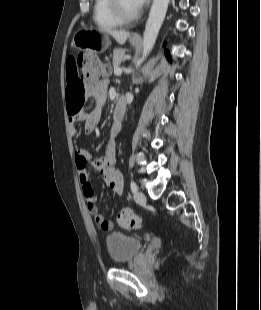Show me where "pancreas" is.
I'll use <instances>...</instances> for the list:
<instances>
[{
  "instance_id": "cf45deb5",
  "label": "pancreas",
  "mask_w": 261,
  "mask_h": 310,
  "mask_svg": "<svg viewBox=\"0 0 261 310\" xmlns=\"http://www.w3.org/2000/svg\"><path fill=\"white\" fill-rule=\"evenodd\" d=\"M125 59V52L120 49H116L113 52V65L114 67H119L122 61Z\"/></svg>"
}]
</instances>
